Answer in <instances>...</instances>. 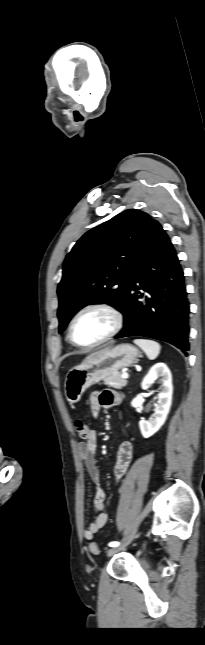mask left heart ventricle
Returning <instances> with one entry per match:
<instances>
[{
	"mask_svg": "<svg viewBox=\"0 0 205 645\" xmlns=\"http://www.w3.org/2000/svg\"><path fill=\"white\" fill-rule=\"evenodd\" d=\"M111 325V318L106 313L95 310L87 311L75 322L73 335L75 340L80 343H92L105 336Z\"/></svg>",
	"mask_w": 205,
	"mask_h": 645,
	"instance_id": "obj_1",
	"label": "left heart ventricle"
}]
</instances>
